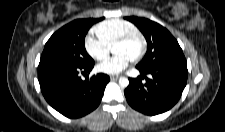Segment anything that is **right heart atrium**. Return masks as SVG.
<instances>
[{
  "label": "right heart atrium",
  "mask_w": 225,
  "mask_h": 132,
  "mask_svg": "<svg viewBox=\"0 0 225 132\" xmlns=\"http://www.w3.org/2000/svg\"><path fill=\"white\" fill-rule=\"evenodd\" d=\"M84 47L87 54L97 61L105 60L110 52V48L92 34H88L85 37Z\"/></svg>",
  "instance_id": "obj_1"
}]
</instances>
